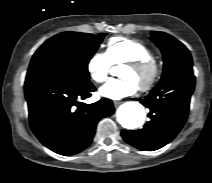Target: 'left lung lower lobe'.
<instances>
[{
  "instance_id": "left-lung-lower-lobe-1",
  "label": "left lung lower lobe",
  "mask_w": 212,
  "mask_h": 183,
  "mask_svg": "<svg viewBox=\"0 0 212 183\" xmlns=\"http://www.w3.org/2000/svg\"><path fill=\"white\" fill-rule=\"evenodd\" d=\"M194 86L192 67L182 69L160 82L141 101L150 109V121L140 130H123V139L144 151L157 150L168 144L186 122Z\"/></svg>"
}]
</instances>
